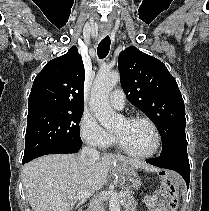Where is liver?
Wrapping results in <instances>:
<instances>
[{
  "instance_id": "liver-1",
  "label": "liver",
  "mask_w": 209,
  "mask_h": 211,
  "mask_svg": "<svg viewBox=\"0 0 209 211\" xmlns=\"http://www.w3.org/2000/svg\"><path fill=\"white\" fill-rule=\"evenodd\" d=\"M157 172L159 169L138 161L104 156L91 166L85 165L77 154H52L26 164L22 181L33 211H72L75 195L100 190L112 166ZM60 199V200H59Z\"/></svg>"
}]
</instances>
